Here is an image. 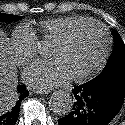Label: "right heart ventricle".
I'll use <instances>...</instances> for the list:
<instances>
[{"instance_id": "e07e8e85", "label": "right heart ventricle", "mask_w": 125, "mask_h": 125, "mask_svg": "<svg viewBox=\"0 0 125 125\" xmlns=\"http://www.w3.org/2000/svg\"><path fill=\"white\" fill-rule=\"evenodd\" d=\"M87 19L89 18L81 16H64L43 20L39 23V33L42 39L53 42L70 26Z\"/></svg>"}]
</instances>
